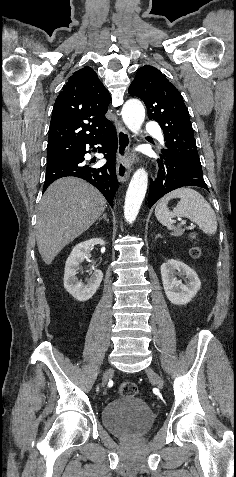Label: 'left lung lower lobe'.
I'll list each match as a JSON object with an SVG mask.
<instances>
[{"mask_svg":"<svg viewBox=\"0 0 236 477\" xmlns=\"http://www.w3.org/2000/svg\"><path fill=\"white\" fill-rule=\"evenodd\" d=\"M157 177L150 182L149 208L168 192L184 186H197L208 190L203 174L191 163L160 152Z\"/></svg>","mask_w":236,"mask_h":477,"instance_id":"left-lung-lower-lobe-1","label":"left lung lower lobe"}]
</instances>
